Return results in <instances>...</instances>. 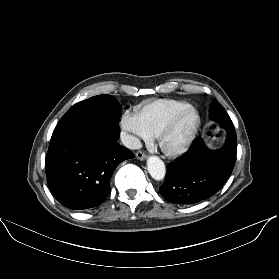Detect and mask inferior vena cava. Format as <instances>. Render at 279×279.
I'll return each instance as SVG.
<instances>
[{"label": "inferior vena cava", "instance_id": "obj_1", "mask_svg": "<svg viewBox=\"0 0 279 279\" xmlns=\"http://www.w3.org/2000/svg\"><path fill=\"white\" fill-rule=\"evenodd\" d=\"M121 140H122V143L124 144V146L129 149H133V150L140 149L142 146L140 140L137 137L126 134V133H124L121 136Z\"/></svg>", "mask_w": 279, "mask_h": 279}]
</instances>
